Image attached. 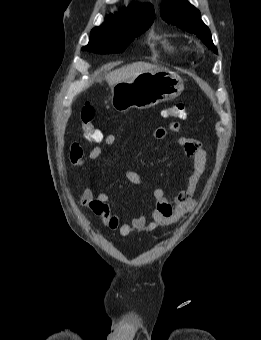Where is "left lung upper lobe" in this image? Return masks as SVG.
I'll return each mask as SVG.
<instances>
[{
    "instance_id": "obj_1",
    "label": "left lung upper lobe",
    "mask_w": 261,
    "mask_h": 340,
    "mask_svg": "<svg viewBox=\"0 0 261 340\" xmlns=\"http://www.w3.org/2000/svg\"><path fill=\"white\" fill-rule=\"evenodd\" d=\"M161 16L167 23L196 34L208 48L217 53L210 30L201 20L199 10L187 0H165Z\"/></svg>"
}]
</instances>
